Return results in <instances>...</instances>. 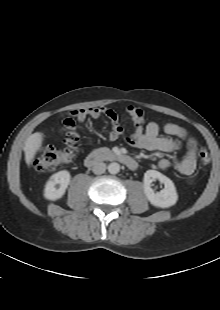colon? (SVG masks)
Wrapping results in <instances>:
<instances>
[{
  "mask_svg": "<svg viewBox=\"0 0 220 310\" xmlns=\"http://www.w3.org/2000/svg\"><path fill=\"white\" fill-rule=\"evenodd\" d=\"M67 128L66 133V147L56 148L49 145H44L39 148L38 154L34 160V167L38 171H50L56 167L66 164L74 156L76 149L80 143L79 134L76 131V125L74 120L67 119L65 121ZM197 157L202 167H206L210 164V154L208 150L203 146L196 147Z\"/></svg>",
  "mask_w": 220,
  "mask_h": 310,
  "instance_id": "obj_1",
  "label": "colon"
}]
</instances>
